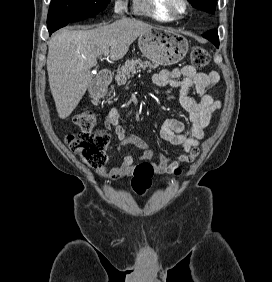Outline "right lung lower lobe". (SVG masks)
<instances>
[{
  "label": "right lung lower lobe",
  "instance_id": "98d812e1",
  "mask_svg": "<svg viewBox=\"0 0 272 282\" xmlns=\"http://www.w3.org/2000/svg\"><path fill=\"white\" fill-rule=\"evenodd\" d=\"M96 14L97 13H81V14H78L72 17L62 18V19L52 21L51 23L47 24L49 35H51L54 31L58 30L59 28L66 26L68 23L80 21V20L89 18L91 16H94Z\"/></svg>",
  "mask_w": 272,
  "mask_h": 282
}]
</instances>
